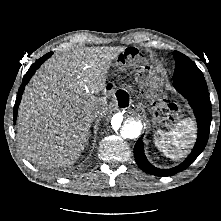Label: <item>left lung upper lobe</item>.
<instances>
[{
  "instance_id": "obj_1",
  "label": "left lung upper lobe",
  "mask_w": 221,
  "mask_h": 221,
  "mask_svg": "<svg viewBox=\"0 0 221 221\" xmlns=\"http://www.w3.org/2000/svg\"><path fill=\"white\" fill-rule=\"evenodd\" d=\"M173 55L176 62L173 79L186 77H203L200 69L187 56L178 51H175Z\"/></svg>"
}]
</instances>
